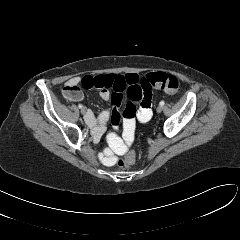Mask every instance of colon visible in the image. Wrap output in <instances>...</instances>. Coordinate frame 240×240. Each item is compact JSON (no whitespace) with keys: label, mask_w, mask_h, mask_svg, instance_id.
I'll return each instance as SVG.
<instances>
[{"label":"colon","mask_w":240,"mask_h":240,"mask_svg":"<svg viewBox=\"0 0 240 240\" xmlns=\"http://www.w3.org/2000/svg\"><path fill=\"white\" fill-rule=\"evenodd\" d=\"M144 81L147 82L151 88L165 91L169 94H176L180 89L179 80L168 73L165 72H153L144 76ZM64 94L68 98L77 97L80 93V88L78 84H68L64 88ZM129 102L123 111L124 120L131 121L136 116V106L135 102L139 101V91L136 87H130L127 92ZM136 159V154L133 150L127 152V154L118 160V165L120 167H130L134 164Z\"/></svg>","instance_id":"5ec220e1"}]
</instances>
